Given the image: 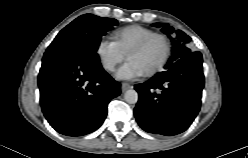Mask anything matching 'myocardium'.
<instances>
[{"label": "myocardium", "instance_id": "myocardium-1", "mask_svg": "<svg viewBox=\"0 0 248 158\" xmlns=\"http://www.w3.org/2000/svg\"><path fill=\"white\" fill-rule=\"evenodd\" d=\"M153 39L162 40V42L164 43V46H165V51H164V55H163V58L160 61V63L156 67L151 69L150 71L145 72L146 76L156 75L157 73L162 71L164 69V67L166 66L167 62L169 61L170 55H171V42H170L169 38L164 34L152 33V34L146 36L145 38H143L142 40H140L127 53V58H128L132 53L139 52L142 49H144Z\"/></svg>", "mask_w": 248, "mask_h": 158}]
</instances>
